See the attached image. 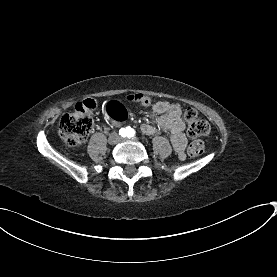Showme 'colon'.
I'll use <instances>...</instances> for the list:
<instances>
[{
	"mask_svg": "<svg viewBox=\"0 0 277 277\" xmlns=\"http://www.w3.org/2000/svg\"><path fill=\"white\" fill-rule=\"evenodd\" d=\"M125 100L138 107L151 105L150 97L141 94L126 95ZM96 108V102L93 97H90L84 99L76 110L67 112L61 117L59 134L67 146L75 147L86 139L92 127L93 113ZM184 118L188 134L193 138L189 144L188 153L190 156H199L205 149V143L200 138L209 135L210 125L194 109L187 108L184 112Z\"/></svg>",
	"mask_w": 277,
	"mask_h": 277,
	"instance_id": "5ec220e1",
	"label": "colon"
}]
</instances>
